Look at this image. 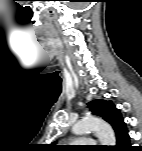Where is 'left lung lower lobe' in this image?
I'll use <instances>...</instances> for the list:
<instances>
[{"label": "left lung lower lobe", "instance_id": "1", "mask_svg": "<svg viewBox=\"0 0 142 151\" xmlns=\"http://www.w3.org/2000/svg\"><path fill=\"white\" fill-rule=\"evenodd\" d=\"M114 151H132L133 148L130 146V137L128 130L125 129L121 134L116 137V146L113 147Z\"/></svg>", "mask_w": 142, "mask_h": 151}]
</instances>
